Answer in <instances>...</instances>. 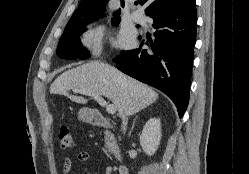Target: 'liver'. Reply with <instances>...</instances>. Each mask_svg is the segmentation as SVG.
Listing matches in <instances>:
<instances>
[{
	"instance_id": "liver-1",
	"label": "liver",
	"mask_w": 249,
	"mask_h": 174,
	"mask_svg": "<svg viewBox=\"0 0 249 174\" xmlns=\"http://www.w3.org/2000/svg\"><path fill=\"white\" fill-rule=\"evenodd\" d=\"M80 93L90 90L108 98L121 116L134 115L158 99L151 87L145 85L98 61H91L62 73L50 86L51 94L69 97L72 101L86 104L87 99L70 95L69 91Z\"/></svg>"
}]
</instances>
